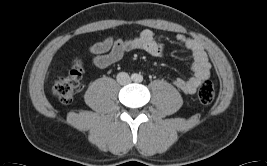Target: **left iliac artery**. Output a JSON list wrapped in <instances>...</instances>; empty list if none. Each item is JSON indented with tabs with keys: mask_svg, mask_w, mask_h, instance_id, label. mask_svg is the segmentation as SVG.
<instances>
[{
	"mask_svg": "<svg viewBox=\"0 0 267 166\" xmlns=\"http://www.w3.org/2000/svg\"><path fill=\"white\" fill-rule=\"evenodd\" d=\"M142 80H143V77H142V76H139V77H138V81H139V82H142Z\"/></svg>",
	"mask_w": 267,
	"mask_h": 166,
	"instance_id": "44dca946",
	"label": "left iliac artery"
}]
</instances>
